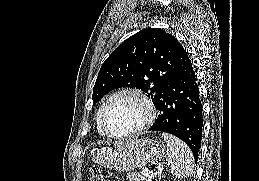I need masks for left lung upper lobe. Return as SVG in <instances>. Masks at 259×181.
Listing matches in <instances>:
<instances>
[{
	"label": "left lung upper lobe",
	"mask_w": 259,
	"mask_h": 181,
	"mask_svg": "<svg viewBox=\"0 0 259 181\" xmlns=\"http://www.w3.org/2000/svg\"><path fill=\"white\" fill-rule=\"evenodd\" d=\"M179 42L160 28L144 29L126 39L105 60L93 88V104L120 87L147 93L156 105L176 73Z\"/></svg>",
	"instance_id": "5c2ea615"
}]
</instances>
